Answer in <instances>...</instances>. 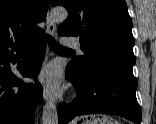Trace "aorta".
Returning a JSON list of instances; mask_svg holds the SVG:
<instances>
[{"label":"aorta","mask_w":156,"mask_h":124,"mask_svg":"<svg viewBox=\"0 0 156 124\" xmlns=\"http://www.w3.org/2000/svg\"><path fill=\"white\" fill-rule=\"evenodd\" d=\"M50 16L54 22H63L68 13L64 8H54ZM42 124H58V114L55 104L51 101L47 102L43 107Z\"/></svg>","instance_id":"obj_1"}]
</instances>
